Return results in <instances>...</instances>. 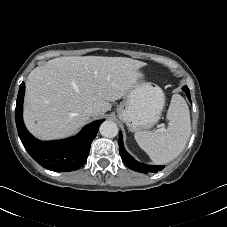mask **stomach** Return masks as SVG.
Returning a JSON list of instances; mask_svg holds the SVG:
<instances>
[{
	"label": "stomach",
	"instance_id": "0dacf381",
	"mask_svg": "<svg viewBox=\"0 0 227 227\" xmlns=\"http://www.w3.org/2000/svg\"><path fill=\"white\" fill-rule=\"evenodd\" d=\"M164 104L165 95L162 89L156 84L146 82L144 72L139 70L133 86L118 105L116 112L130 131H141L158 122Z\"/></svg>",
	"mask_w": 227,
	"mask_h": 227
}]
</instances>
